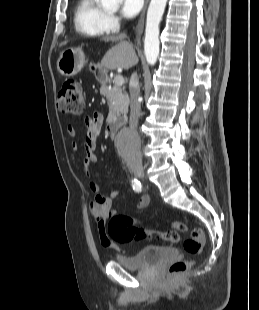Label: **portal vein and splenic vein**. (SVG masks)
<instances>
[{
	"label": "portal vein and splenic vein",
	"mask_w": 259,
	"mask_h": 310,
	"mask_svg": "<svg viewBox=\"0 0 259 310\" xmlns=\"http://www.w3.org/2000/svg\"><path fill=\"white\" fill-rule=\"evenodd\" d=\"M114 83L116 86H122L124 84V78L122 75H116L114 77Z\"/></svg>",
	"instance_id": "18ae733b"
}]
</instances>
